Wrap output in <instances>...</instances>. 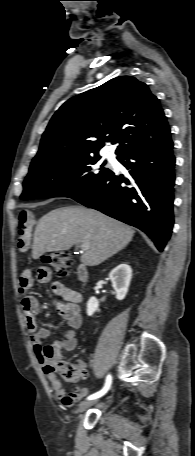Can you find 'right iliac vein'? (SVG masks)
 Returning a JSON list of instances; mask_svg holds the SVG:
<instances>
[{"label":"right iliac vein","mask_w":195,"mask_h":456,"mask_svg":"<svg viewBox=\"0 0 195 456\" xmlns=\"http://www.w3.org/2000/svg\"><path fill=\"white\" fill-rule=\"evenodd\" d=\"M97 402V400H90V401H84L79 404L78 411L83 412L90 406L94 405Z\"/></svg>","instance_id":"right-iliac-vein-1"}]
</instances>
